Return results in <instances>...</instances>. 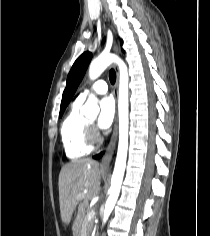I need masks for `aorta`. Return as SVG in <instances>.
Returning <instances> with one entry per match:
<instances>
[{"instance_id": "obj_1", "label": "aorta", "mask_w": 210, "mask_h": 236, "mask_svg": "<svg viewBox=\"0 0 210 236\" xmlns=\"http://www.w3.org/2000/svg\"><path fill=\"white\" fill-rule=\"evenodd\" d=\"M116 63L120 71L119 80V98H118V114H119V143L113 175L111 178V187L109 189V197L105 204L103 222L105 223L118 199L122 180L124 177L127 151H128V129H129V103H128V70L126 64L116 55L110 53H102L96 59L92 60L89 66V77L92 80L98 78L103 71L111 64ZM81 113L87 117H96L99 113L97 98L90 95L86 104L81 109Z\"/></svg>"}]
</instances>
